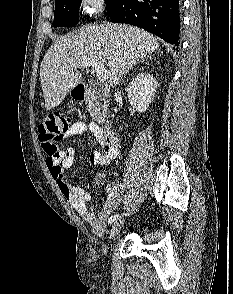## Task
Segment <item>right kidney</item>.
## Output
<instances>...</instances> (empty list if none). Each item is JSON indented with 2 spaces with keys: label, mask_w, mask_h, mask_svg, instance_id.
Returning a JSON list of instances; mask_svg holds the SVG:
<instances>
[{
  "label": "right kidney",
  "mask_w": 233,
  "mask_h": 294,
  "mask_svg": "<svg viewBox=\"0 0 233 294\" xmlns=\"http://www.w3.org/2000/svg\"><path fill=\"white\" fill-rule=\"evenodd\" d=\"M157 81L149 73H139L129 84L128 101L140 113L145 112L155 95Z\"/></svg>",
  "instance_id": "obj_1"
}]
</instances>
